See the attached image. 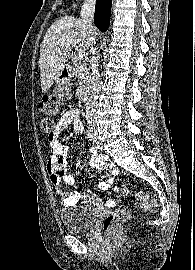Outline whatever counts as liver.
<instances>
[{"mask_svg": "<svg viewBox=\"0 0 195 270\" xmlns=\"http://www.w3.org/2000/svg\"><path fill=\"white\" fill-rule=\"evenodd\" d=\"M91 32L81 19L64 16L56 20L46 32L40 47V80L42 92L46 93L64 70L70 57L71 49L87 50L91 44Z\"/></svg>", "mask_w": 195, "mask_h": 270, "instance_id": "6515ba94", "label": "liver"}]
</instances>
